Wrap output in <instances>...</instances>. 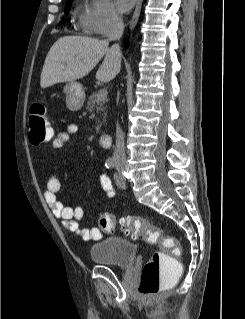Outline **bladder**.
Instances as JSON below:
<instances>
[{
  "label": "bladder",
  "instance_id": "obj_1",
  "mask_svg": "<svg viewBox=\"0 0 245 319\" xmlns=\"http://www.w3.org/2000/svg\"><path fill=\"white\" fill-rule=\"evenodd\" d=\"M137 246L120 237L101 238L90 247V256L95 263L128 267L135 261Z\"/></svg>",
  "mask_w": 245,
  "mask_h": 319
}]
</instances>
